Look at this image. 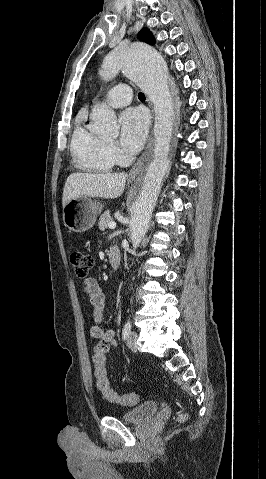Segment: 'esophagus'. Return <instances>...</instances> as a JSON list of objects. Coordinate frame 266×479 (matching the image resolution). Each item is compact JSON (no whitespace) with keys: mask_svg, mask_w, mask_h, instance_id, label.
Segmentation results:
<instances>
[{"mask_svg":"<svg viewBox=\"0 0 266 479\" xmlns=\"http://www.w3.org/2000/svg\"><path fill=\"white\" fill-rule=\"evenodd\" d=\"M145 154H146V151L142 154V156L139 158V160L131 168V170L129 172V178H135L138 175V173L140 171V168L143 164Z\"/></svg>","mask_w":266,"mask_h":479,"instance_id":"34e87169","label":"esophagus"}]
</instances>
